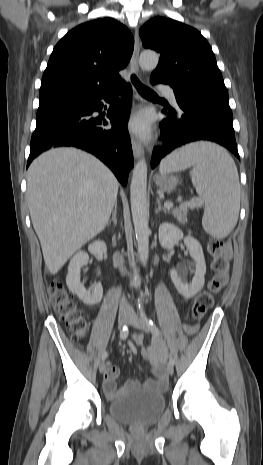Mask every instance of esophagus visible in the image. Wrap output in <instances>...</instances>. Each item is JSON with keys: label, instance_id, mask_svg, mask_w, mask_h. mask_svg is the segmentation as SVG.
Instances as JSON below:
<instances>
[{"label": "esophagus", "instance_id": "obj_1", "mask_svg": "<svg viewBox=\"0 0 263 465\" xmlns=\"http://www.w3.org/2000/svg\"><path fill=\"white\" fill-rule=\"evenodd\" d=\"M139 52H140V41H139L138 30L136 29L134 33V50H133V55H132L131 62H130L131 70L135 73L139 71V67H138ZM131 144H132V150H133L134 157L136 159L140 158L143 155V148L141 146V143L136 138L132 137Z\"/></svg>", "mask_w": 263, "mask_h": 465}]
</instances>
